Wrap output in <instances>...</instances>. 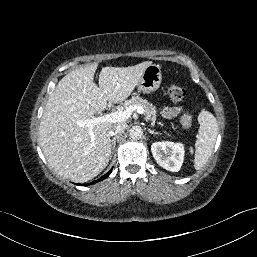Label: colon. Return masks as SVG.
Segmentation results:
<instances>
[{
  "instance_id": "5ec220e1",
  "label": "colon",
  "mask_w": 257,
  "mask_h": 257,
  "mask_svg": "<svg viewBox=\"0 0 257 257\" xmlns=\"http://www.w3.org/2000/svg\"><path fill=\"white\" fill-rule=\"evenodd\" d=\"M167 95L170 100L174 102L181 101L185 96V89L179 83H171L167 87ZM181 123L184 127H190L192 125V119L189 115L184 114L181 117Z\"/></svg>"
}]
</instances>
